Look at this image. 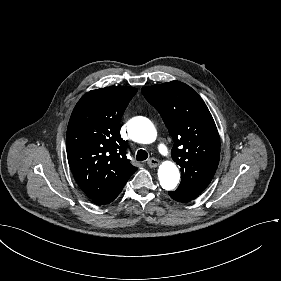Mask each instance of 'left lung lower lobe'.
<instances>
[{
  "mask_svg": "<svg viewBox=\"0 0 281 281\" xmlns=\"http://www.w3.org/2000/svg\"><path fill=\"white\" fill-rule=\"evenodd\" d=\"M172 199L179 201V202H188L190 200H193L197 197V195L177 189L176 191L168 192Z\"/></svg>",
  "mask_w": 281,
  "mask_h": 281,
  "instance_id": "left-lung-lower-lobe-1",
  "label": "left lung lower lobe"
}]
</instances>
